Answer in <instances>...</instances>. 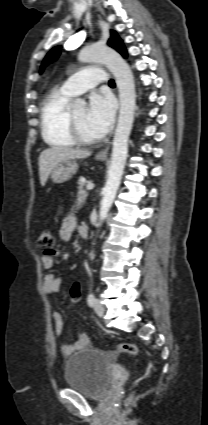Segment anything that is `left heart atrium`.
Segmentation results:
<instances>
[{"label": "left heart atrium", "instance_id": "left-heart-atrium-1", "mask_svg": "<svg viewBox=\"0 0 208 425\" xmlns=\"http://www.w3.org/2000/svg\"><path fill=\"white\" fill-rule=\"evenodd\" d=\"M114 115V104L110 97L97 94L91 96L85 121L97 137L104 136L110 130Z\"/></svg>", "mask_w": 208, "mask_h": 425}]
</instances>
